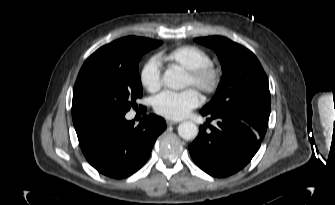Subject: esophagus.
Listing matches in <instances>:
<instances>
[{
    "label": "esophagus",
    "instance_id": "1",
    "mask_svg": "<svg viewBox=\"0 0 335 205\" xmlns=\"http://www.w3.org/2000/svg\"><path fill=\"white\" fill-rule=\"evenodd\" d=\"M166 123H167L168 126H171V125L177 124L178 122L174 121V120H167Z\"/></svg>",
    "mask_w": 335,
    "mask_h": 205
}]
</instances>
